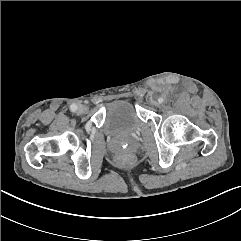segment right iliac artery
<instances>
[{
  "mask_svg": "<svg viewBox=\"0 0 241 241\" xmlns=\"http://www.w3.org/2000/svg\"><path fill=\"white\" fill-rule=\"evenodd\" d=\"M70 109H71V111L75 112L77 110V105L76 104H72L70 106Z\"/></svg>",
  "mask_w": 241,
  "mask_h": 241,
  "instance_id": "82829eb1",
  "label": "right iliac artery"
}]
</instances>
